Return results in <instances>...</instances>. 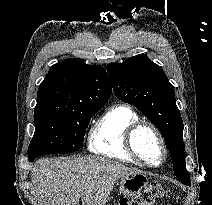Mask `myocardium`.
<instances>
[{"mask_svg": "<svg viewBox=\"0 0 212 205\" xmlns=\"http://www.w3.org/2000/svg\"><path fill=\"white\" fill-rule=\"evenodd\" d=\"M143 129L150 130L155 136V138L157 139L161 147L162 158L158 163H151L147 161L145 158L141 156V154L137 150L135 139L137 134ZM126 147L128 152L138 163L146 165V166H150V167L160 166L161 164H163V162L166 160V157H167V147L161 132L154 124L148 121H137L129 128L126 134Z\"/></svg>", "mask_w": 212, "mask_h": 205, "instance_id": "f54148a6", "label": "myocardium"}]
</instances>
